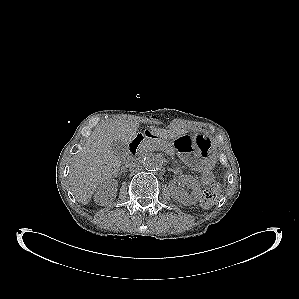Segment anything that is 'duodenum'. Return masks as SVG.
I'll return each instance as SVG.
<instances>
[{
  "label": "duodenum",
  "mask_w": 299,
  "mask_h": 299,
  "mask_svg": "<svg viewBox=\"0 0 299 299\" xmlns=\"http://www.w3.org/2000/svg\"><path fill=\"white\" fill-rule=\"evenodd\" d=\"M148 137H153L150 131L138 133L134 139L129 143L128 150L130 154H135L141 143Z\"/></svg>",
  "instance_id": "410a0bca"
}]
</instances>
